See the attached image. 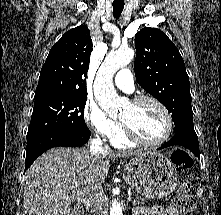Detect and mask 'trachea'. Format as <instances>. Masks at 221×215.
I'll use <instances>...</instances> for the list:
<instances>
[{"mask_svg":"<svg viewBox=\"0 0 221 215\" xmlns=\"http://www.w3.org/2000/svg\"><path fill=\"white\" fill-rule=\"evenodd\" d=\"M124 8V3L119 4V3H113V15L114 18L118 19L123 11Z\"/></svg>","mask_w":221,"mask_h":215,"instance_id":"1","label":"trachea"}]
</instances>
